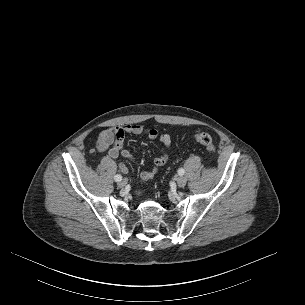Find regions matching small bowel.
Wrapping results in <instances>:
<instances>
[{
  "label": "small bowel",
  "mask_w": 305,
  "mask_h": 305,
  "mask_svg": "<svg viewBox=\"0 0 305 305\" xmlns=\"http://www.w3.org/2000/svg\"><path fill=\"white\" fill-rule=\"evenodd\" d=\"M128 135H143L150 139H159L162 144L160 153L154 159V167L141 172L140 177L144 181H149L155 177L158 170L168 161V149L171 147V136L169 134H159L154 128H147L138 124L122 125L110 127L102 130L97 139V148L101 152H107L108 156L113 159L124 157L130 161H135V156L129 150L123 149V141ZM120 170L123 173L128 172L125 164L120 163ZM138 191L137 194H141Z\"/></svg>",
  "instance_id": "small-bowel-1"
}]
</instances>
